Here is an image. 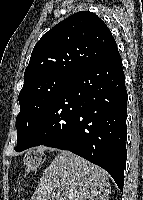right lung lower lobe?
<instances>
[{
    "label": "right lung lower lobe",
    "instance_id": "obj_1",
    "mask_svg": "<svg viewBox=\"0 0 143 200\" xmlns=\"http://www.w3.org/2000/svg\"><path fill=\"white\" fill-rule=\"evenodd\" d=\"M127 91L118 49L75 73L34 125L22 151L44 145L104 168L123 191Z\"/></svg>",
    "mask_w": 143,
    "mask_h": 200
}]
</instances>
